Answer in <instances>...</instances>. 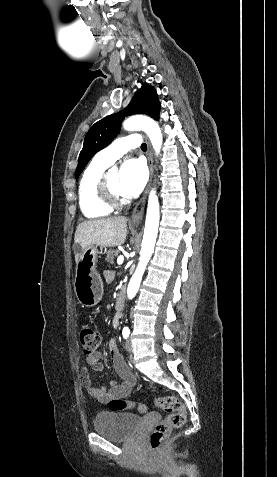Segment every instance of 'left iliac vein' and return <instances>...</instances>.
<instances>
[{
    "label": "left iliac vein",
    "mask_w": 277,
    "mask_h": 477,
    "mask_svg": "<svg viewBox=\"0 0 277 477\" xmlns=\"http://www.w3.org/2000/svg\"><path fill=\"white\" fill-rule=\"evenodd\" d=\"M126 349L129 353H131L133 351V346H132V343H131L130 339H128L126 341Z\"/></svg>",
    "instance_id": "obj_1"
}]
</instances>
